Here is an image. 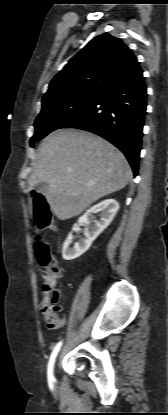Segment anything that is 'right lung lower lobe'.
Masks as SVG:
<instances>
[{
	"mask_svg": "<svg viewBox=\"0 0 168 415\" xmlns=\"http://www.w3.org/2000/svg\"><path fill=\"white\" fill-rule=\"evenodd\" d=\"M147 93L138 64L111 82L101 96L60 128L93 132L119 148L130 163L134 176L139 167Z\"/></svg>",
	"mask_w": 168,
	"mask_h": 415,
	"instance_id": "1",
	"label": "right lung lower lobe"
}]
</instances>
